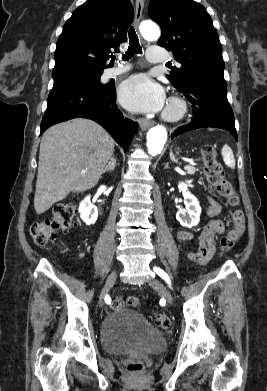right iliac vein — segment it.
I'll list each match as a JSON object with an SVG mask.
<instances>
[{"instance_id": "1", "label": "right iliac vein", "mask_w": 267, "mask_h": 391, "mask_svg": "<svg viewBox=\"0 0 267 391\" xmlns=\"http://www.w3.org/2000/svg\"><path fill=\"white\" fill-rule=\"evenodd\" d=\"M116 278H117V271H112L110 273V275L108 276L107 280H106V283L100 293V296H99V306H102L104 304V299H105V296L107 295V293L109 292V290L111 289V287L114 285L115 281H116Z\"/></svg>"}]
</instances>
